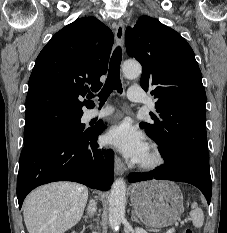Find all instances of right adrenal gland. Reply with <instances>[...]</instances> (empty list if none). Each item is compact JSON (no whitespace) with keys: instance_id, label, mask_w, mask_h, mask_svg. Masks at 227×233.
Returning <instances> with one entry per match:
<instances>
[{"instance_id":"2a0ac1e0","label":"right adrenal gland","mask_w":227,"mask_h":233,"mask_svg":"<svg viewBox=\"0 0 227 233\" xmlns=\"http://www.w3.org/2000/svg\"><path fill=\"white\" fill-rule=\"evenodd\" d=\"M83 218H84V220H85V222H86V221H87V219H88V216H84Z\"/></svg>"}]
</instances>
